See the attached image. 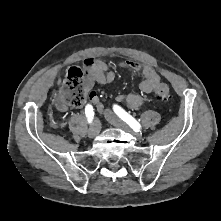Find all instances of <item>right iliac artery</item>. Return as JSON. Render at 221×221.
<instances>
[{
	"mask_svg": "<svg viewBox=\"0 0 221 221\" xmlns=\"http://www.w3.org/2000/svg\"><path fill=\"white\" fill-rule=\"evenodd\" d=\"M85 114H86L88 123H92V121L94 119V109H93L92 105L88 104L85 107Z\"/></svg>",
	"mask_w": 221,
	"mask_h": 221,
	"instance_id": "right-iliac-artery-1",
	"label": "right iliac artery"
}]
</instances>
